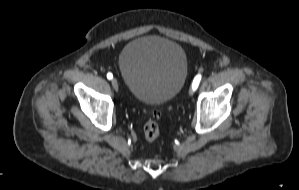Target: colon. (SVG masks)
Here are the masks:
<instances>
[{
    "label": "colon",
    "mask_w": 299,
    "mask_h": 190,
    "mask_svg": "<svg viewBox=\"0 0 299 190\" xmlns=\"http://www.w3.org/2000/svg\"><path fill=\"white\" fill-rule=\"evenodd\" d=\"M159 117L160 113L158 111H154L151 118L144 126V137L148 142H153L159 137Z\"/></svg>",
    "instance_id": "5ec220e1"
}]
</instances>
